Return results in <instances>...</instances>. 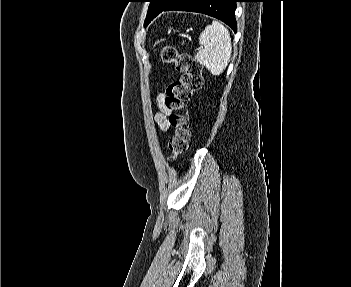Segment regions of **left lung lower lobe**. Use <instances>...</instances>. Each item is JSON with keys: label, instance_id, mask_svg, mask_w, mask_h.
Returning a JSON list of instances; mask_svg holds the SVG:
<instances>
[{"label": "left lung lower lobe", "instance_id": "obj_1", "mask_svg": "<svg viewBox=\"0 0 351 287\" xmlns=\"http://www.w3.org/2000/svg\"><path fill=\"white\" fill-rule=\"evenodd\" d=\"M236 2L238 0H173L162 11L178 10L203 13L223 21L236 32L237 25L234 15Z\"/></svg>", "mask_w": 351, "mask_h": 287}]
</instances>
